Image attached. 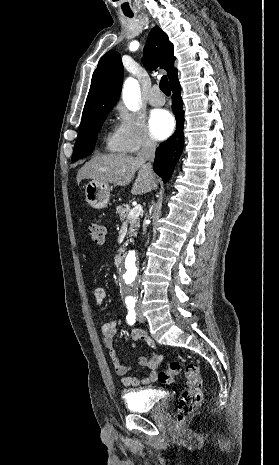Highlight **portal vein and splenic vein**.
Instances as JSON below:
<instances>
[{
    "label": "portal vein and splenic vein",
    "mask_w": 279,
    "mask_h": 465,
    "mask_svg": "<svg viewBox=\"0 0 279 465\" xmlns=\"http://www.w3.org/2000/svg\"><path fill=\"white\" fill-rule=\"evenodd\" d=\"M142 212V206L140 204L134 206V208L130 211L128 218H137Z\"/></svg>",
    "instance_id": "18ae733b"
}]
</instances>
